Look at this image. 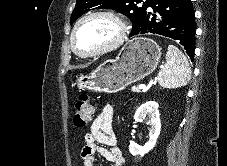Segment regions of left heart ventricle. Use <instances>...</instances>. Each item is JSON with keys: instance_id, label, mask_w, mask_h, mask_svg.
<instances>
[{"instance_id": "left-heart-ventricle-1", "label": "left heart ventricle", "mask_w": 227, "mask_h": 166, "mask_svg": "<svg viewBox=\"0 0 227 166\" xmlns=\"http://www.w3.org/2000/svg\"><path fill=\"white\" fill-rule=\"evenodd\" d=\"M118 36L116 24L105 17L85 21L75 35L76 47L82 52H92L111 43Z\"/></svg>"}]
</instances>
